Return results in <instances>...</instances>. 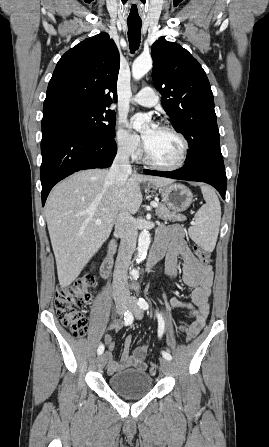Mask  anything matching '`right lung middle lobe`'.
<instances>
[{
    "mask_svg": "<svg viewBox=\"0 0 269 447\" xmlns=\"http://www.w3.org/2000/svg\"><path fill=\"white\" fill-rule=\"evenodd\" d=\"M49 114L69 117L89 133L101 137L115 136L116 115L106 107L64 106L54 109Z\"/></svg>",
    "mask_w": 269,
    "mask_h": 447,
    "instance_id": "obj_1",
    "label": "right lung middle lobe"
}]
</instances>
